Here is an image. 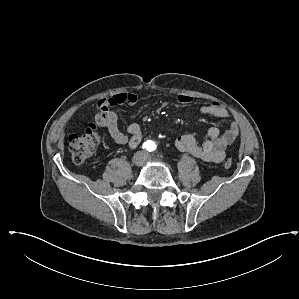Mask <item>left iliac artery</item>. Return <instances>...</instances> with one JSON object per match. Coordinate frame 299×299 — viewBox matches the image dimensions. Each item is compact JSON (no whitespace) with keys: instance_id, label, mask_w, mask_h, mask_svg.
<instances>
[{"instance_id":"44dca946","label":"left iliac artery","mask_w":299,"mask_h":299,"mask_svg":"<svg viewBox=\"0 0 299 299\" xmlns=\"http://www.w3.org/2000/svg\"><path fill=\"white\" fill-rule=\"evenodd\" d=\"M157 148V145L155 144V142H150V148L149 151H155Z\"/></svg>"}]
</instances>
